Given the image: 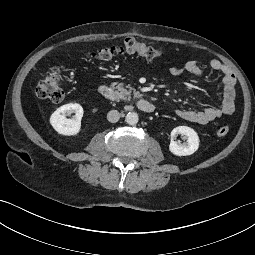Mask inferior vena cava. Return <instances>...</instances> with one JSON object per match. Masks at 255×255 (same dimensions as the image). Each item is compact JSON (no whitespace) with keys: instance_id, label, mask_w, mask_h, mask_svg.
Here are the masks:
<instances>
[{"instance_id":"obj_1","label":"inferior vena cava","mask_w":255,"mask_h":255,"mask_svg":"<svg viewBox=\"0 0 255 255\" xmlns=\"http://www.w3.org/2000/svg\"><path fill=\"white\" fill-rule=\"evenodd\" d=\"M120 114L117 110H111L107 114V120L111 123H115L119 120Z\"/></svg>"}]
</instances>
